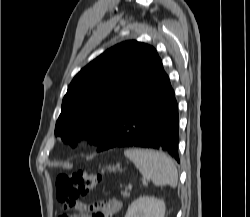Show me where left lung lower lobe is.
Returning a JSON list of instances; mask_svg holds the SVG:
<instances>
[{
  "instance_id": "obj_1",
  "label": "left lung lower lobe",
  "mask_w": 250,
  "mask_h": 217,
  "mask_svg": "<svg viewBox=\"0 0 250 217\" xmlns=\"http://www.w3.org/2000/svg\"><path fill=\"white\" fill-rule=\"evenodd\" d=\"M178 106L161 59L138 84L97 151L144 147L178 157Z\"/></svg>"
}]
</instances>
